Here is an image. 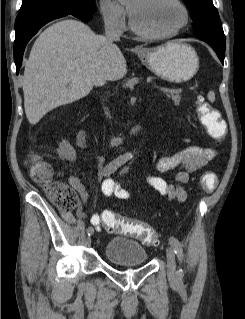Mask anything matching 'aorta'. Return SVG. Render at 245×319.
Masks as SVG:
<instances>
[{"mask_svg": "<svg viewBox=\"0 0 245 319\" xmlns=\"http://www.w3.org/2000/svg\"><path fill=\"white\" fill-rule=\"evenodd\" d=\"M119 1H123V0H119ZM133 156L132 155H130V158H132Z\"/></svg>", "mask_w": 245, "mask_h": 319, "instance_id": "aorta-1", "label": "aorta"}]
</instances>
